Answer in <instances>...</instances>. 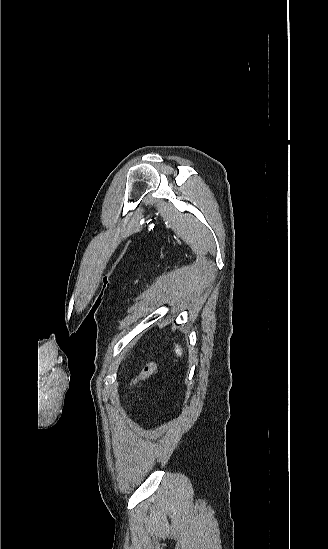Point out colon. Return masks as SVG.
Segmentation results:
<instances>
[{
  "label": "colon",
  "mask_w": 328,
  "mask_h": 549,
  "mask_svg": "<svg viewBox=\"0 0 328 549\" xmlns=\"http://www.w3.org/2000/svg\"><path fill=\"white\" fill-rule=\"evenodd\" d=\"M158 362L156 359L150 360L142 369L140 374L133 378L130 383L128 384V391L132 390L135 386L140 384L141 382L146 381L148 378H150L155 371L157 370Z\"/></svg>",
  "instance_id": "colon-1"
}]
</instances>
